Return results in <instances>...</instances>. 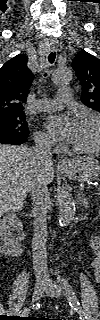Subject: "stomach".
I'll return each instance as SVG.
<instances>
[{
    "mask_svg": "<svg viewBox=\"0 0 100 320\" xmlns=\"http://www.w3.org/2000/svg\"><path fill=\"white\" fill-rule=\"evenodd\" d=\"M63 172L74 181H93L100 177V162L93 157H79L70 161Z\"/></svg>",
    "mask_w": 100,
    "mask_h": 320,
    "instance_id": "0dacf381",
    "label": "stomach"
}]
</instances>
